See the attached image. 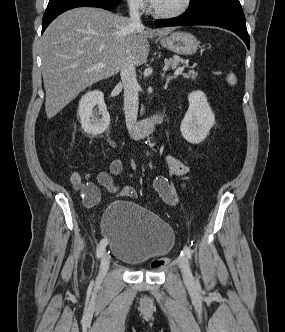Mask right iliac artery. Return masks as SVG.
I'll list each match as a JSON object with an SVG mask.
<instances>
[{
	"instance_id": "1",
	"label": "right iliac artery",
	"mask_w": 285,
	"mask_h": 332,
	"mask_svg": "<svg viewBox=\"0 0 285 332\" xmlns=\"http://www.w3.org/2000/svg\"><path fill=\"white\" fill-rule=\"evenodd\" d=\"M106 245H107V242L105 240L100 241L98 248H97V252H96L97 258H100L102 256V254L105 251Z\"/></svg>"
}]
</instances>
